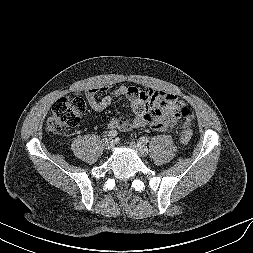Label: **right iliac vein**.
Returning a JSON list of instances; mask_svg holds the SVG:
<instances>
[{"instance_id": "63e3f726", "label": "right iliac vein", "mask_w": 253, "mask_h": 253, "mask_svg": "<svg viewBox=\"0 0 253 253\" xmlns=\"http://www.w3.org/2000/svg\"><path fill=\"white\" fill-rule=\"evenodd\" d=\"M104 147L106 150H112L114 148V141L112 139H106L104 141Z\"/></svg>"}]
</instances>
